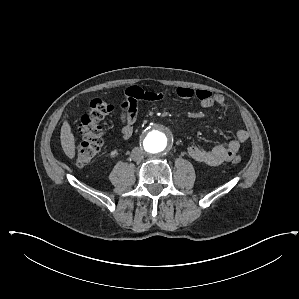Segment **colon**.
<instances>
[{"instance_id": "obj_1", "label": "colon", "mask_w": 299, "mask_h": 299, "mask_svg": "<svg viewBox=\"0 0 299 299\" xmlns=\"http://www.w3.org/2000/svg\"><path fill=\"white\" fill-rule=\"evenodd\" d=\"M112 106L102 99H94L89 109L84 113L79 122V130L83 135V141L76 150V163L84 166L90 163L99 153L103 145V130L100 121L112 112ZM241 157L233 156L232 163L239 164Z\"/></svg>"}]
</instances>
